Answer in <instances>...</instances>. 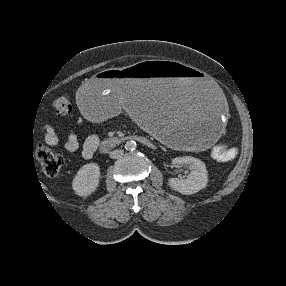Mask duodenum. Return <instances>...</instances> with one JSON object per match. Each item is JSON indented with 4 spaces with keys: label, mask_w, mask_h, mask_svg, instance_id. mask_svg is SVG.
<instances>
[{
    "label": "duodenum",
    "mask_w": 286,
    "mask_h": 286,
    "mask_svg": "<svg viewBox=\"0 0 286 286\" xmlns=\"http://www.w3.org/2000/svg\"><path fill=\"white\" fill-rule=\"evenodd\" d=\"M137 141L139 143H147V139L140 135H125L120 137H111L103 139L101 142H99V147L102 151H108L112 148H115L117 146H120L124 144L127 141Z\"/></svg>",
    "instance_id": "duodenum-1"
}]
</instances>
